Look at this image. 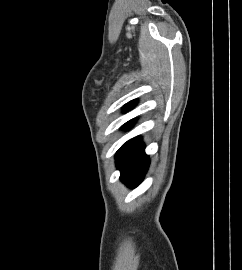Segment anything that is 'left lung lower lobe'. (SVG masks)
<instances>
[{
	"mask_svg": "<svg viewBox=\"0 0 242 270\" xmlns=\"http://www.w3.org/2000/svg\"><path fill=\"white\" fill-rule=\"evenodd\" d=\"M135 119L123 125L124 128L130 127ZM144 144L139 137L126 142L116 154V165L121 171V180L131 188L139 185L149 166V158L144 153Z\"/></svg>",
	"mask_w": 242,
	"mask_h": 270,
	"instance_id": "obj_1",
	"label": "left lung lower lobe"
}]
</instances>
